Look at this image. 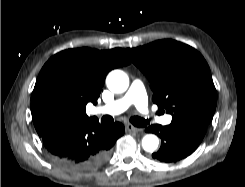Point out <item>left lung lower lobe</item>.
Wrapping results in <instances>:
<instances>
[{
    "label": "left lung lower lobe",
    "instance_id": "obj_1",
    "mask_svg": "<svg viewBox=\"0 0 245 187\" xmlns=\"http://www.w3.org/2000/svg\"><path fill=\"white\" fill-rule=\"evenodd\" d=\"M207 126L201 124H158L145 128L161 138L160 149L152 154L156 160L175 163L191 155L201 143Z\"/></svg>",
    "mask_w": 245,
    "mask_h": 187
}]
</instances>
